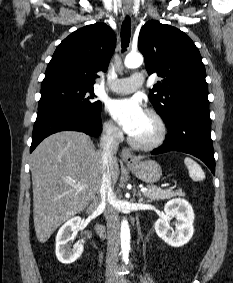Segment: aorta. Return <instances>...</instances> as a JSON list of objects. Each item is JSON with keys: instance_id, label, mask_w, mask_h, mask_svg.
Listing matches in <instances>:
<instances>
[{"instance_id": "obj_1", "label": "aorta", "mask_w": 233, "mask_h": 283, "mask_svg": "<svg viewBox=\"0 0 233 283\" xmlns=\"http://www.w3.org/2000/svg\"><path fill=\"white\" fill-rule=\"evenodd\" d=\"M143 63V56L140 53H129L125 60V67L132 69L137 68ZM121 239V253L124 262H128L129 250H130V228L128 221L124 218L121 222L120 230Z\"/></svg>"}]
</instances>
